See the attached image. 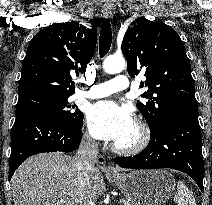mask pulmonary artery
Segmentation results:
<instances>
[{
    "mask_svg": "<svg viewBox=\"0 0 212 205\" xmlns=\"http://www.w3.org/2000/svg\"><path fill=\"white\" fill-rule=\"evenodd\" d=\"M128 87V78L125 75H117L113 79L103 83L89 84L88 90H80L77 92V95L91 99L102 98L125 90Z\"/></svg>",
    "mask_w": 212,
    "mask_h": 205,
    "instance_id": "e3ab8cb5",
    "label": "pulmonary artery"
}]
</instances>
